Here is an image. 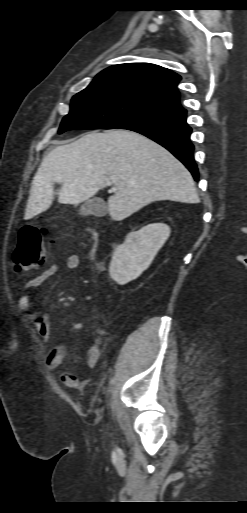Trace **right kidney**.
Here are the masks:
<instances>
[{
  "mask_svg": "<svg viewBox=\"0 0 247 513\" xmlns=\"http://www.w3.org/2000/svg\"><path fill=\"white\" fill-rule=\"evenodd\" d=\"M169 236L170 227L163 223L149 224L128 234L113 253L109 267L111 278L120 285L138 278Z\"/></svg>",
  "mask_w": 247,
  "mask_h": 513,
  "instance_id": "obj_1",
  "label": "right kidney"
}]
</instances>
